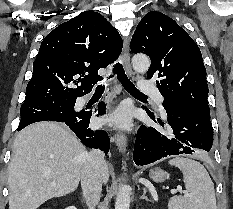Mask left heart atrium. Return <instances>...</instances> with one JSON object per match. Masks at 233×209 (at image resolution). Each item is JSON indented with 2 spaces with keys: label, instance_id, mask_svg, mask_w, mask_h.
<instances>
[{
  "label": "left heart atrium",
  "instance_id": "39dd6f15",
  "mask_svg": "<svg viewBox=\"0 0 233 209\" xmlns=\"http://www.w3.org/2000/svg\"><path fill=\"white\" fill-rule=\"evenodd\" d=\"M109 121L118 126H128L130 123V111L126 107L119 108L109 119Z\"/></svg>",
  "mask_w": 233,
  "mask_h": 209
}]
</instances>
